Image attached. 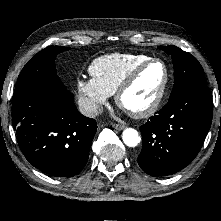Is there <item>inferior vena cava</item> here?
<instances>
[{"mask_svg": "<svg viewBox=\"0 0 221 221\" xmlns=\"http://www.w3.org/2000/svg\"><path fill=\"white\" fill-rule=\"evenodd\" d=\"M78 103L80 112L87 117H95L103 112V107L93 99L81 97Z\"/></svg>", "mask_w": 221, "mask_h": 221, "instance_id": "obj_1", "label": "inferior vena cava"}]
</instances>
